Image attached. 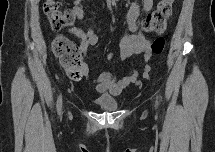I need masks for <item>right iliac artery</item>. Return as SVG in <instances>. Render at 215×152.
I'll return each instance as SVG.
<instances>
[{
	"label": "right iliac artery",
	"instance_id": "right-iliac-artery-1",
	"mask_svg": "<svg viewBox=\"0 0 215 152\" xmlns=\"http://www.w3.org/2000/svg\"><path fill=\"white\" fill-rule=\"evenodd\" d=\"M61 108H62V96L60 95L57 101V111L61 115Z\"/></svg>",
	"mask_w": 215,
	"mask_h": 152
}]
</instances>
